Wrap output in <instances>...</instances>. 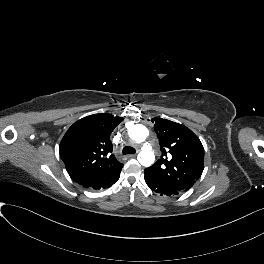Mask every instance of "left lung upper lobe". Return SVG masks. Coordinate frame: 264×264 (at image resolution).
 Segmentation results:
<instances>
[{
  "instance_id": "1",
  "label": "left lung upper lobe",
  "mask_w": 264,
  "mask_h": 264,
  "mask_svg": "<svg viewBox=\"0 0 264 264\" xmlns=\"http://www.w3.org/2000/svg\"><path fill=\"white\" fill-rule=\"evenodd\" d=\"M154 120L162 155L144 170L145 176L180 193L186 192L203 172V145L186 126L161 118Z\"/></svg>"
}]
</instances>
